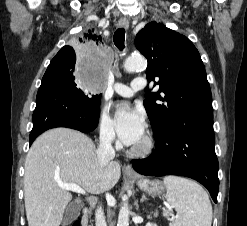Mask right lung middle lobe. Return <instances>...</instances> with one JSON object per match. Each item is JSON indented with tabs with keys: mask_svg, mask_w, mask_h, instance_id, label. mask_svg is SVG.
Listing matches in <instances>:
<instances>
[{
	"mask_svg": "<svg viewBox=\"0 0 247 226\" xmlns=\"http://www.w3.org/2000/svg\"><path fill=\"white\" fill-rule=\"evenodd\" d=\"M75 63H76V56L75 52L70 56H64L60 57L56 63L48 67L49 70H53L58 72L60 75H62L67 82H69L74 89L82 95L84 99H86L91 105H93L96 108H99L100 101H101V94H91L87 92H83L76 84L75 82V75H74V69H75Z\"/></svg>",
	"mask_w": 247,
	"mask_h": 226,
	"instance_id": "dd1d6c3e",
	"label": "right lung middle lobe"
}]
</instances>
